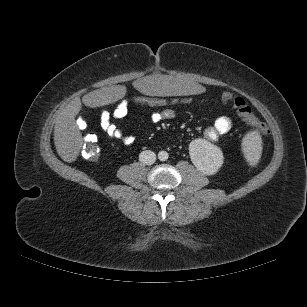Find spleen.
<instances>
[{
    "instance_id": "spleen-1",
    "label": "spleen",
    "mask_w": 307,
    "mask_h": 307,
    "mask_svg": "<svg viewBox=\"0 0 307 307\" xmlns=\"http://www.w3.org/2000/svg\"><path fill=\"white\" fill-rule=\"evenodd\" d=\"M242 161L249 166L257 165L262 158L260 138L253 133L245 134L240 141Z\"/></svg>"
}]
</instances>
